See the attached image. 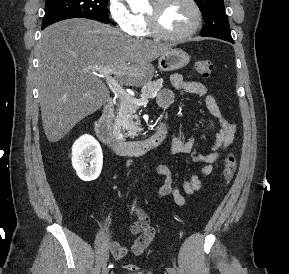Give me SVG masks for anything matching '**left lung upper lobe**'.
<instances>
[{
    "label": "left lung upper lobe",
    "mask_w": 289,
    "mask_h": 274,
    "mask_svg": "<svg viewBox=\"0 0 289 274\" xmlns=\"http://www.w3.org/2000/svg\"><path fill=\"white\" fill-rule=\"evenodd\" d=\"M203 14L206 26L200 35L231 40L230 26L223 0H194Z\"/></svg>",
    "instance_id": "1"
}]
</instances>
